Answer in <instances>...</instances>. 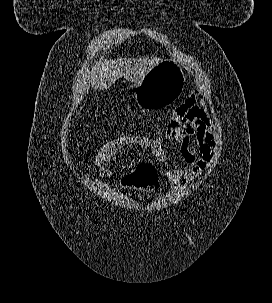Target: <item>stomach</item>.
Masks as SVG:
<instances>
[{
	"instance_id": "stomach-1",
	"label": "stomach",
	"mask_w": 272,
	"mask_h": 303,
	"mask_svg": "<svg viewBox=\"0 0 272 303\" xmlns=\"http://www.w3.org/2000/svg\"><path fill=\"white\" fill-rule=\"evenodd\" d=\"M184 74L173 59H165L151 69L138 83L126 88L128 95L135 98L137 105L144 110L161 109L184 90Z\"/></svg>"
}]
</instances>
